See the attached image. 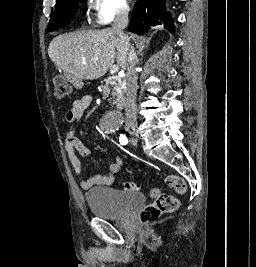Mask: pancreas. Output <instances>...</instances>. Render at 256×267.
Returning a JSON list of instances; mask_svg holds the SVG:
<instances>
[{
  "instance_id": "1",
  "label": "pancreas",
  "mask_w": 256,
  "mask_h": 267,
  "mask_svg": "<svg viewBox=\"0 0 256 267\" xmlns=\"http://www.w3.org/2000/svg\"><path fill=\"white\" fill-rule=\"evenodd\" d=\"M106 84L103 86L104 94H111L113 96V104H117L122 108L124 104L125 94V78H116L115 82L112 80H105Z\"/></svg>"
}]
</instances>
